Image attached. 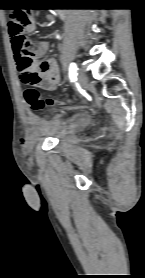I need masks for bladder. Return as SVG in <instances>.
Wrapping results in <instances>:
<instances>
[{
	"label": "bladder",
	"instance_id": "obj_1",
	"mask_svg": "<svg viewBox=\"0 0 145 278\" xmlns=\"http://www.w3.org/2000/svg\"><path fill=\"white\" fill-rule=\"evenodd\" d=\"M90 123V118L83 113L73 115L68 122L65 123L64 128L52 132L55 139L59 142H65L69 136L76 131L82 130Z\"/></svg>",
	"mask_w": 145,
	"mask_h": 278
}]
</instances>
